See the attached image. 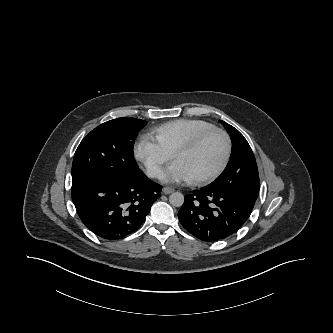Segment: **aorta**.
Here are the masks:
<instances>
[{"mask_svg":"<svg viewBox=\"0 0 333 333\" xmlns=\"http://www.w3.org/2000/svg\"><path fill=\"white\" fill-rule=\"evenodd\" d=\"M169 202L172 206L180 207L184 203V196L180 192H174L170 195Z\"/></svg>","mask_w":333,"mask_h":333,"instance_id":"aorta-1","label":"aorta"}]
</instances>
